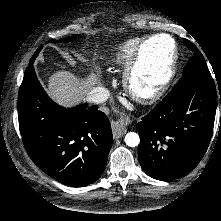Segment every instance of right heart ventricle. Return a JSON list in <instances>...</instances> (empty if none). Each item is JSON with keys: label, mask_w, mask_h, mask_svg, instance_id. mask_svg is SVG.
Here are the masks:
<instances>
[{"label": "right heart ventricle", "mask_w": 221, "mask_h": 221, "mask_svg": "<svg viewBox=\"0 0 221 221\" xmlns=\"http://www.w3.org/2000/svg\"><path fill=\"white\" fill-rule=\"evenodd\" d=\"M141 40V38H131L118 42L107 58L110 69L125 68Z\"/></svg>", "instance_id": "obj_1"}]
</instances>
